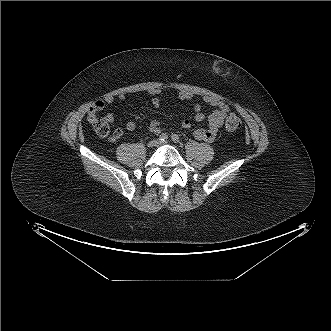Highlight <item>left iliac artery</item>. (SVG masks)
Listing matches in <instances>:
<instances>
[{
  "mask_svg": "<svg viewBox=\"0 0 331 331\" xmlns=\"http://www.w3.org/2000/svg\"><path fill=\"white\" fill-rule=\"evenodd\" d=\"M171 139H172V141L175 142V143H178V142L180 141V140H179V136L176 135V134H173V135L171 136Z\"/></svg>",
  "mask_w": 331,
  "mask_h": 331,
  "instance_id": "obj_1",
  "label": "left iliac artery"
}]
</instances>
